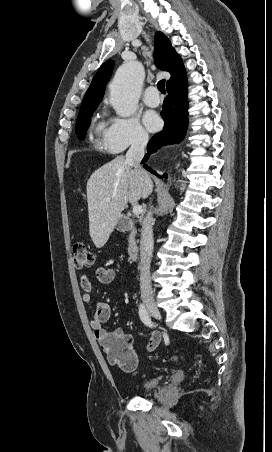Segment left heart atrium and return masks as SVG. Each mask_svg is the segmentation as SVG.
Here are the masks:
<instances>
[{
  "instance_id": "left-heart-atrium-1",
  "label": "left heart atrium",
  "mask_w": 272,
  "mask_h": 452,
  "mask_svg": "<svg viewBox=\"0 0 272 452\" xmlns=\"http://www.w3.org/2000/svg\"><path fill=\"white\" fill-rule=\"evenodd\" d=\"M144 123L147 129L151 132H155L161 128L162 121L160 117L152 111H149L144 116Z\"/></svg>"
}]
</instances>
